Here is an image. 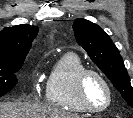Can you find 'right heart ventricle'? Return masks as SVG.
Here are the masks:
<instances>
[{
  "mask_svg": "<svg viewBox=\"0 0 133 118\" xmlns=\"http://www.w3.org/2000/svg\"><path fill=\"white\" fill-rule=\"evenodd\" d=\"M85 69L86 65L75 53L58 58L47 77L46 100L69 111L87 112L77 97V79Z\"/></svg>",
  "mask_w": 133,
  "mask_h": 118,
  "instance_id": "1",
  "label": "right heart ventricle"
}]
</instances>
